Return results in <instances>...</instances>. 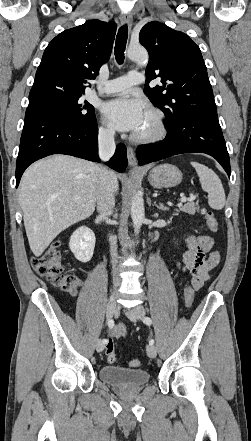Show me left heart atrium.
<instances>
[{"label": "left heart atrium", "instance_id": "obj_1", "mask_svg": "<svg viewBox=\"0 0 251 441\" xmlns=\"http://www.w3.org/2000/svg\"><path fill=\"white\" fill-rule=\"evenodd\" d=\"M102 112L115 129L137 133L148 112L145 102L135 97H119L104 103Z\"/></svg>", "mask_w": 251, "mask_h": 441}]
</instances>
